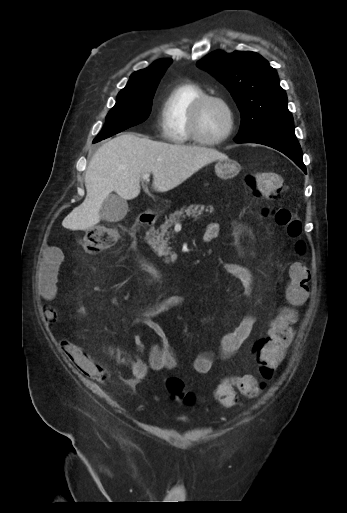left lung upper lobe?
Listing matches in <instances>:
<instances>
[{
	"label": "left lung upper lobe",
	"mask_w": 347,
	"mask_h": 513,
	"mask_svg": "<svg viewBox=\"0 0 347 513\" xmlns=\"http://www.w3.org/2000/svg\"><path fill=\"white\" fill-rule=\"evenodd\" d=\"M231 93L241 112L236 142L267 127L293 124L287 96L279 85L277 72L259 54L215 51L197 62Z\"/></svg>",
	"instance_id": "left-lung-upper-lobe-1"
}]
</instances>
